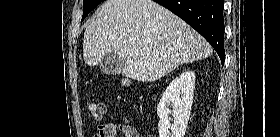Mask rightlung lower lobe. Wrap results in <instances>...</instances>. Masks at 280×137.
Returning <instances> with one entry per match:
<instances>
[{
	"label": "right lung lower lobe",
	"instance_id": "98d812e1",
	"mask_svg": "<svg viewBox=\"0 0 280 137\" xmlns=\"http://www.w3.org/2000/svg\"><path fill=\"white\" fill-rule=\"evenodd\" d=\"M199 32L225 60L223 0H154Z\"/></svg>",
	"mask_w": 280,
	"mask_h": 137
}]
</instances>
